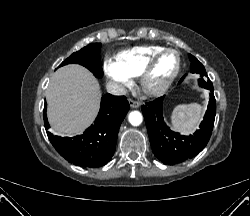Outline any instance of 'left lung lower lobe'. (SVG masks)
I'll return each mask as SVG.
<instances>
[{"mask_svg":"<svg viewBox=\"0 0 250 216\" xmlns=\"http://www.w3.org/2000/svg\"><path fill=\"white\" fill-rule=\"evenodd\" d=\"M199 86L210 91V99L204 120L194 135H180L166 126L162 112L164 96L146 103L141 108L152 151L164 164L175 165L193 158L203 150L210 139L216 114L213 85L199 83Z\"/></svg>","mask_w":250,"mask_h":216,"instance_id":"left-lung-lower-lobe-1","label":"left lung lower lobe"}]
</instances>
